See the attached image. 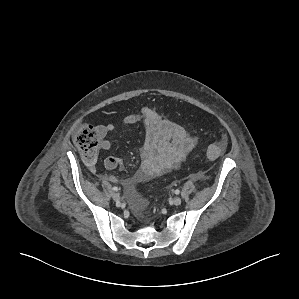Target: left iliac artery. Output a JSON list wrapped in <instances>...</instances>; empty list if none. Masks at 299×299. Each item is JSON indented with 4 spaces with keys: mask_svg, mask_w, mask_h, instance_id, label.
I'll list each match as a JSON object with an SVG mask.
<instances>
[{
    "mask_svg": "<svg viewBox=\"0 0 299 299\" xmlns=\"http://www.w3.org/2000/svg\"><path fill=\"white\" fill-rule=\"evenodd\" d=\"M179 193H180V190H179V189H176V190H175V194L178 195Z\"/></svg>",
    "mask_w": 299,
    "mask_h": 299,
    "instance_id": "left-iliac-artery-1",
    "label": "left iliac artery"
}]
</instances>
